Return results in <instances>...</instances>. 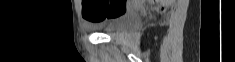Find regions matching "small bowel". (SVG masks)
<instances>
[{
    "mask_svg": "<svg viewBox=\"0 0 235 62\" xmlns=\"http://www.w3.org/2000/svg\"><path fill=\"white\" fill-rule=\"evenodd\" d=\"M87 20V19H86ZM88 21V20H87ZM89 22V21H88ZM89 24H94V23H91V22H89Z\"/></svg>",
    "mask_w": 235,
    "mask_h": 62,
    "instance_id": "small-bowel-1",
    "label": "small bowel"
}]
</instances>
